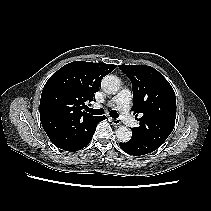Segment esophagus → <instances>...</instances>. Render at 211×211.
<instances>
[{
	"label": "esophagus",
	"instance_id": "obj_1",
	"mask_svg": "<svg viewBox=\"0 0 211 211\" xmlns=\"http://www.w3.org/2000/svg\"><path fill=\"white\" fill-rule=\"evenodd\" d=\"M112 120V123H113V125H115V126H118V125H120L121 124V122H120V120L119 119H111Z\"/></svg>",
	"mask_w": 211,
	"mask_h": 211
}]
</instances>
